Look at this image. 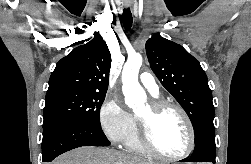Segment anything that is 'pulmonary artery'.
Wrapping results in <instances>:
<instances>
[{"instance_id":"obj_1","label":"pulmonary artery","mask_w":251,"mask_h":164,"mask_svg":"<svg viewBox=\"0 0 251 164\" xmlns=\"http://www.w3.org/2000/svg\"><path fill=\"white\" fill-rule=\"evenodd\" d=\"M140 82L144 86V88L153 96L158 97L159 95V88L158 85L154 79V77L148 73L143 72L140 75Z\"/></svg>"}]
</instances>
